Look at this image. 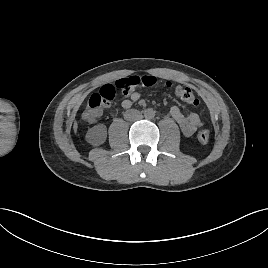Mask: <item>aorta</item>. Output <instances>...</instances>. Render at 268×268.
Here are the masks:
<instances>
[{
    "mask_svg": "<svg viewBox=\"0 0 268 268\" xmlns=\"http://www.w3.org/2000/svg\"><path fill=\"white\" fill-rule=\"evenodd\" d=\"M155 116V111L152 108L144 110V117L146 119H152Z\"/></svg>",
    "mask_w": 268,
    "mask_h": 268,
    "instance_id": "aorta-1",
    "label": "aorta"
}]
</instances>
